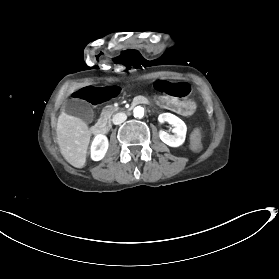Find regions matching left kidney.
<instances>
[{
	"label": "left kidney",
	"instance_id": "5707ae66",
	"mask_svg": "<svg viewBox=\"0 0 279 279\" xmlns=\"http://www.w3.org/2000/svg\"><path fill=\"white\" fill-rule=\"evenodd\" d=\"M158 120L160 123L168 122L174 126L172 132L174 135H170L165 131H160V139L171 147H178L182 145L186 138L187 126L180 118L171 113H162L159 115Z\"/></svg>",
	"mask_w": 279,
	"mask_h": 279
}]
</instances>
